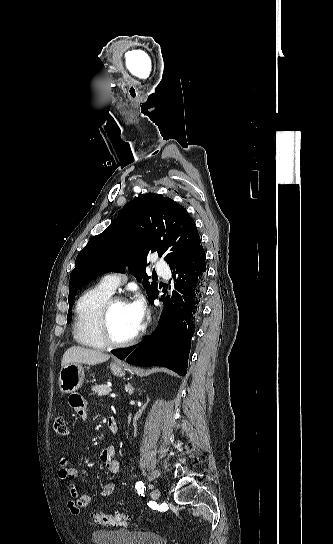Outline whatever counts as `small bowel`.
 <instances>
[{
	"mask_svg": "<svg viewBox=\"0 0 333 544\" xmlns=\"http://www.w3.org/2000/svg\"><path fill=\"white\" fill-rule=\"evenodd\" d=\"M69 405L79 418L82 420L87 419V403L80 394L74 393L70 395ZM107 425L112 435L118 433V423L114 418H109L107 420ZM115 454L116 449L114 446H108L100 453L101 463L111 474L118 473L121 468V463L114 459ZM58 476L65 483L69 493L70 498L68 501V508L70 512L74 515L83 513L91 505L92 499L77 486V471L74 468L69 467L66 458H62L59 461ZM114 491L115 485L113 483H107L102 487L100 495L102 497H108L111 496Z\"/></svg>",
	"mask_w": 333,
	"mask_h": 544,
	"instance_id": "small-bowel-1",
	"label": "small bowel"
}]
</instances>
